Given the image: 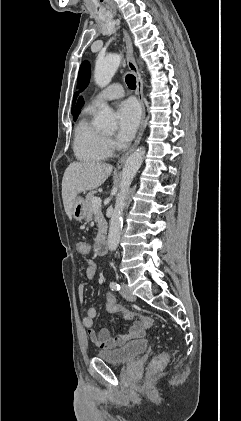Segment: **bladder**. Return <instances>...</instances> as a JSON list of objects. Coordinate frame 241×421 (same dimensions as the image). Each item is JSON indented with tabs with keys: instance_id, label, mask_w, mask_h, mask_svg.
Listing matches in <instances>:
<instances>
[{
	"instance_id": "31cf9c89",
	"label": "bladder",
	"mask_w": 241,
	"mask_h": 421,
	"mask_svg": "<svg viewBox=\"0 0 241 421\" xmlns=\"http://www.w3.org/2000/svg\"><path fill=\"white\" fill-rule=\"evenodd\" d=\"M148 348L147 339H138L116 349L99 351L97 357L110 364L125 365L133 362Z\"/></svg>"
}]
</instances>
